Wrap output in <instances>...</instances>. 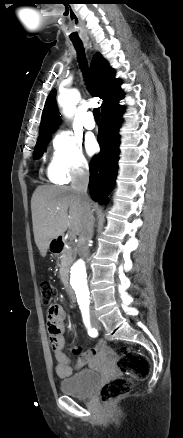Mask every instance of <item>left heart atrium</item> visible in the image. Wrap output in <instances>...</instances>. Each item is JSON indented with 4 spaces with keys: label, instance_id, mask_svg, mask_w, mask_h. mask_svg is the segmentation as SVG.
<instances>
[{
    "label": "left heart atrium",
    "instance_id": "1",
    "mask_svg": "<svg viewBox=\"0 0 183 438\" xmlns=\"http://www.w3.org/2000/svg\"><path fill=\"white\" fill-rule=\"evenodd\" d=\"M85 146H86L87 152L90 155L94 154L98 149L97 141L93 136L87 137V139L85 141Z\"/></svg>",
    "mask_w": 183,
    "mask_h": 438
}]
</instances>
